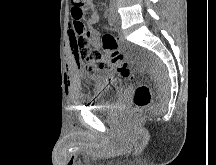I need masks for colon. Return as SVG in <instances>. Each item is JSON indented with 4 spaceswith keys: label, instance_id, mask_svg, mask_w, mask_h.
I'll use <instances>...</instances> for the list:
<instances>
[{
    "label": "colon",
    "instance_id": "1",
    "mask_svg": "<svg viewBox=\"0 0 216 165\" xmlns=\"http://www.w3.org/2000/svg\"><path fill=\"white\" fill-rule=\"evenodd\" d=\"M74 8L85 9L89 7L93 0H71ZM79 52V68L82 73L92 78L100 70L114 68L125 79L134 80L135 74L126 60L125 56L118 49V40L112 34H105L102 37V49H92L89 39L86 36H80L76 41ZM135 105L134 115L140 114L151 103V90L145 83H138L133 94Z\"/></svg>",
    "mask_w": 216,
    "mask_h": 165
}]
</instances>
